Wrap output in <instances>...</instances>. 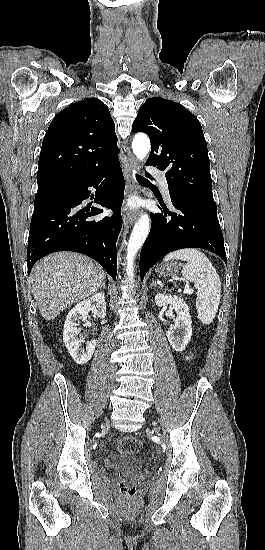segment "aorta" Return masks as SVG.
Returning <instances> with one entry per match:
<instances>
[{"mask_svg":"<svg viewBox=\"0 0 265 550\" xmlns=\"http://www.w3.org/2000/svg\"><path fill=\"white\" fill-rule=\"evenodd\" d=\"M150 140L145 134H138L132 142V149L139 160H144L150 152ZM150 231V218L148 214H142L135 223L129 238L126 253V272L129 280L133 283L134 257L146 240Z\"/></svg>","mask_w":265,"mask_h":550,"instance_id":"aorta-1","label":"aorta"}]
</instances>
